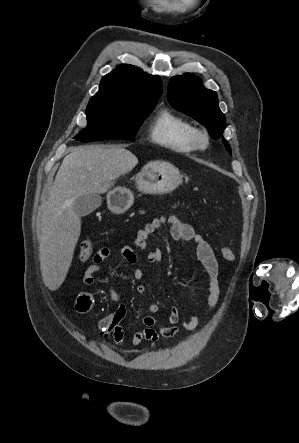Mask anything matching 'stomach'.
<instances>
[{
	"mask_svg": "<svg viewBox=\"0 0 299 443\" xmlns=\"http://www.w3.org/2000/svg\"><path fill=\"white\" fill-rule=\"evenodd\" d=\"M139 191L146 194L172 192L182 183L179 170L170 163L152 162L135 176ZM133 193L124 187H116L107 194V206L115 214H121L133 204Z\"/></svg>",
	"mask_w": 299,
	"mask_h": 443,
	"instance_id": "1",
	"label": "stomach"
}]
</instances>
